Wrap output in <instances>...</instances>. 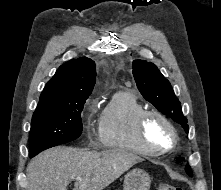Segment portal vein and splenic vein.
<instances>
[{"label": "portal vein and splenic vein", "instance_id": "obj_1", "mask_svg": "<svg viewBox=\"0 0 221 190\" xmlns=\"http://www.w3.org/2000/svg\"><path fill=\"white\" fill-rule=\"evenodd\" d=\"M77 180H79V181H82V179L79 177V178H77Z\"/></svg>", "mask_w": 221, "mask_h": 190}]
</instances>
